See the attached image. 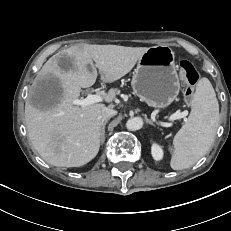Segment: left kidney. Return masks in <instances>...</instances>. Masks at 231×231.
I'll return each instance as SVG.
<instances>
[{
  "instance_id": "1",
  "label": "left kidney",
  "mask_w": 231,
  "mask_h": 231,
  "mask_svg": "<svg viewBox=\"0 0 231 231\" xmlns=\"http://www.w3.org/2000/svg\"><path fill=\"white\" fill-rule=\"evenodd\" d=\"M151 153L153 158L156 161H159L163 158V150L158 144H153L151 147Z\"/></svg>"
}]
</instances>
